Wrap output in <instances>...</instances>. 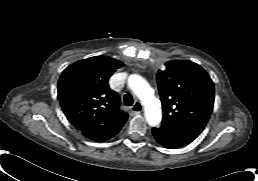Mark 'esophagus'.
<instances>
[{"label": "esophagus", "instance_id": "esophagus-1", "mask_svg": "<svg viewBox=\"0 0 258 181\" xmlns=\"http://www.w3.org/2000/svg\"><path fill=\"white\" fill-rule=\"evenodd\" d=\"M143 111V105L141 102H136L133 106H132V112L135 114H139Z\"/></svg>", "mask_w": 258, "mask_h": 181}]
</instances>
